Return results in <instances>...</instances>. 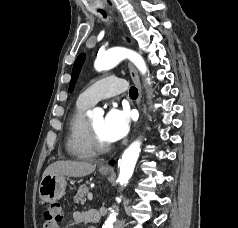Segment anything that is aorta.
Wrapping results in <instances>:
<instances>
[{"mask_svg":"<svg viewBox=\"0 0 238 228\" xmlns=\"http://www.w3.org/2000/svg\"><path fill=\"white\" fill-rule=\"evenodd\" d=\"M124 59H129L140 71L142 75H146L148 72L147 66L143 57L130 49L122 47L111 48L101 54H99L95 60L94 67L97 71H105L115 67ZM147 84H150V78H146ZM99 109H95L91 114L99 113ZM141 141L135 140L128 148L123 152L121 159L119 160V176L118 182L121 186H126L129 179L132 177L136 162L138 160L141 151ZM116 224V215L111 213L105 220L102 228H114Z\"/></svg>","mask_w":238,"mask_h":228,"instance_id":"obj_1","label":"aorta"}]
</instances>
